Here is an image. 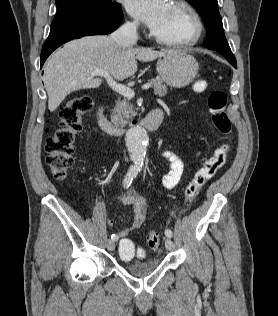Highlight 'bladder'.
<instances>
[{
	"instance_id": "bladder-1",
	"label": "bladder",
	"mask_w": 278,
	"mask_h": 316,
	"mask_svg": "<svg viewBox=\"0 0 278 316\" xmlns=\"http://www.w3.org/2000/svg\"><path fill=\"white\" fill-rule=\"evenodd\" d=\"M160 262L157 259H150L143 262H131L125 264V268L128 272L135 276H146L155 271Z\"/></svg>"
}]
</instances>
